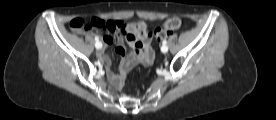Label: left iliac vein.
Here are the masks:
<instances>
[{
	"instance_id": "left-iliac-vein-1",
	"label": "left iliac vein",
	"mask_w": 276,
	"mask_h": 120,
	"mask_svg": "<svg viewBox=\"0 0 276 120\" xmlns=\"http://www.w3.org/2000/svg\"><path fill=\"white\" fill-rule=\"evenodd\" d=\"M161 51L163 52V53H167L168 52V47L165 45V46H162L161 47Z\"/></svg>"
}]
</instances>
